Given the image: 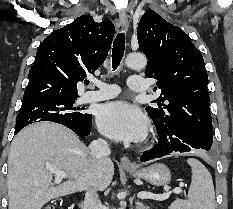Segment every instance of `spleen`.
I'll return each mask as SVG.
<instances>
[{
    "label": "spleen",
    "mask_w": 233,
    "mask_h": 209,
    "mask_svg": "<svg viewBox=\"0 0 233 209\" xmlns=\"http://www.w3.org/2000/svg\"><path fill=\"white\" fill-rule=\"evenodd\" d=\"M192 176L187 200H175L169 209H216L215 191L210 172L197 159L189 158Z\"/></svg>",
    "instance_id": "spleen-1"
}]
</instances>
